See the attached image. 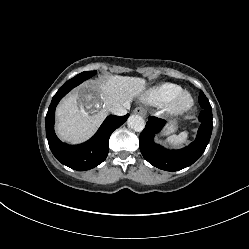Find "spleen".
Returning a JSON list of instances; mask_svg holds the SVG:
<instances>
[{
  "instance_id": "spleen-1",
  "label": "spleen",
  "mask_w": 249,
  "mask_h": 249,
  "mask_svg": "<svg viewBox=\"0 0 249 249\" xmlns=\"http://www.w3.org/2000/svg\"><path fill=\"white\" fill-rule=\"evenodd\" d=\"M187 141H188V132L184 131L181 132L179 135H172L168 137L166 140H164V143H167L173 147H181Z\"/></svg>"
}]
</instances>
